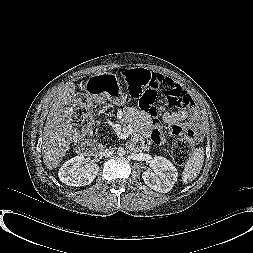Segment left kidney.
<instances>
[{
  "label": "left kidney",
  "instance_id": "obj_1",
  "mask_svg": "<svg viewBox=\"0 0 253 253\" xmlns=\"http://www.w3.org/2000/svg\"><path fill=\"white\" fill-rule=\"evenodd\" d=\"M150 167L153 171L146 170L142 174L145 184L154 191L169 192L178 179L175 166L168 159L155 156L150 163Z\"/></svg>",
  "mask_w": 253,
  "mask_h": 253
}]
</instances>
